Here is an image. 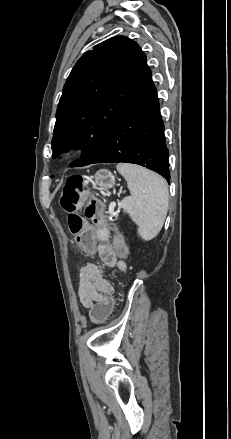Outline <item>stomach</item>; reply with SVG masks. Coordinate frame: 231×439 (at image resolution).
Segmentation results:
<instances>
[{
	"instance_id": "obj_1",
	"label": "stomach",
	"mask_w": 231,
	"mask_h": 439,
	"mask_svg": "<svg viewBox=\"0 0 231 439\" xmlns=\"http://www.w3.org/2000/svg\"><path fill=\"white\" fill-rule=\"evenodd\" d=\"M92 178L94 179V184L98 185L102 190H109L115 185L113 174L106 170L98 171Z\"/></svg>"
}]
</instances>
